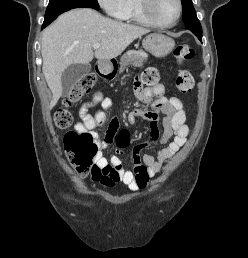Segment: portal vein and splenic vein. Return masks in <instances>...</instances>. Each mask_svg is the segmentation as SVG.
<instances>
[{"label": "portal vein and splenic vein", "instance_id": "1", "mask_svg": "<svg viewBox=\"0 0 248 258\" xmlns=\"http://www.w3.org/2000/svg\"><path fill=\"white\" fill-rule=\"evenodd\" d=\"M100 46H101L100 43H95V44L93 45V48H94V49H98V48H100Z\"/></svg>", "mask_w": 248, "mask_h": 258}]
</instances>
